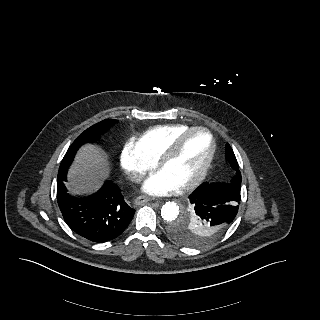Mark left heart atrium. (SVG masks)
I'll use <instances>...</instances> for the list:
<instances>
[{"mask_svg": "<svg viewBox=\"0 0 320 320\" xmlns=\"http://www.w3.org/2000/svg\"><path fill=\"white\" fill-rule=\"evenodd\" d=\"M178 186L168 179L162 172L150 176L143 185L144 192L151 195H165L175 191Z\"/></svg>", "mask_w": 320, "mask_h": 320, "instance_id": "obj_1", "label": "left heart atrium"}]
</instances>
